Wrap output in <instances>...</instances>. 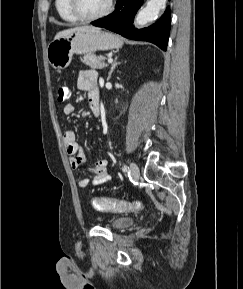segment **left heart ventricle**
I'll return each mask as SVG.
<instances>
[{
	"label": "left heart ventricle",
	"mask_w": 243,
	"mask_h": 289,
	"mask_svg": "<svg viewBox=\"0 0 243 289\" xmlns=\"http://www.w3.org/2000/svg\"><path fill=\"white\" fill-rule=\"evenodd\" d=\"M109 0H78V8L85 15H95L103 11Z\"/></svg>",
	"instance_id": "b2bd125f"
}]
</instances>
